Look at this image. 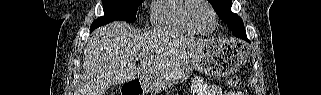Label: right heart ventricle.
Listing matches in <instances>:
<instances>
[{
  "instance_id": "1",
  "label": "right heart ventricle",
  "mask_w": 321,
  "mask_h": 95,
  "mask_svg": "<svg viewBox=\"0 0 321 95\" xmlns=\"http://www.w3.org/2000/svg\"><path fill=\"white\" fill-rule=\"evenodd\" d=\"M191 0H154L151 4V25L160 30L182 34H198L188 18Z\"/></svg>"
}]
</instances>
